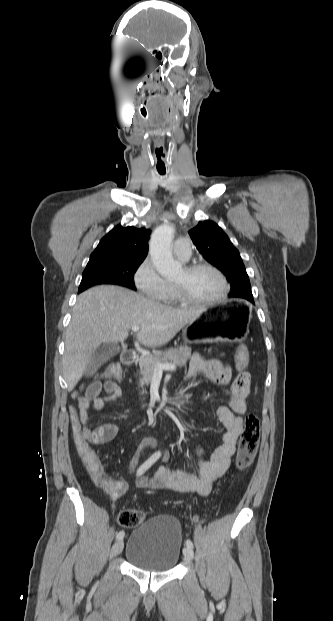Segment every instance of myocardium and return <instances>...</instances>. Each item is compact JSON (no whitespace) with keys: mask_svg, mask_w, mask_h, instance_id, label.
Instances as JSON below:
<instances>
[{"mask_svg":"<svg viewBox=\"0 0 333 621\" xmlns=\"http://www.w3.org/2000/svg\"><path fill=\"white\" fill-rule=\"evenodd\" d=\"M184 269L187 273H194L200 270H210L214 272L221 279L222 284H223V289L221 293L215 298L207 299V300H198V299L192 298L182 286L173 284V289L175 291V294L181 302L189 304V305H195V306H206V305L217 304L223 301L228 296L229 291H230V284L225 274L216 266L210 263H206V262H199V263L188 265Z\"/></svg>","mask_w":333,"mask_h":621,"instance_id":"myocardium-1","label":"myocardium"}]
</instances>
